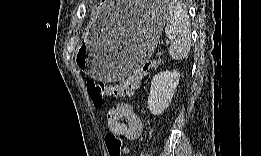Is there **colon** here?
Returning <instances> with one entry per match:
<instances>
[{
  "instance_id": "1",
  "label": "colon",
  "mask_w": 261,
  "mask_h": 156,
  "mask_svg": "<svg viewBox=\"0 0 261 156\" xmlns=\"http://www.w3.org/2000/svg\"><path fill=\"white\" fill-rule=\"evenodd\" d=\"M157 61H147L131 73L123 82L118 84H105L100 81L87 82V91L96 108H101L107 96L131 95L139 86L146 73L157 67ZM105 147L108 156H122L124 142L122 138L108 133L105 136Z\"/></svg>"
}]
</instances>
